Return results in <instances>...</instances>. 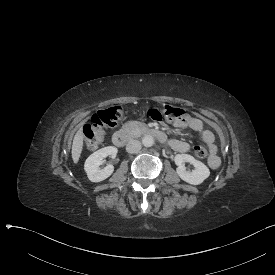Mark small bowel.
Instances as JSON below:
<instances>
[{"instance_id": "c3829d8e", "label": "small bowel", "mask_w": 275, "mask_h": 275, "mask_svg": "<svg viewBox=\"0 0 275 275\" xmlns=\"http://www.w3.org/2000/svg\"><path fill=\"white\" fill-rule=\"evenodd\" d=\"M175 126L179 129L189 128L200 135L201 140L206 143L210 149L211 155L208 159V165L212 169H216L220 165V159L216 155L217 146L215 144L214 134L207 129H204L203 122L197 117H188L183 121L175 122ZM171 146L174 150L180 153H186L190 149V145L186 141L172 140Z\"/></svg>"}]
</instances>
